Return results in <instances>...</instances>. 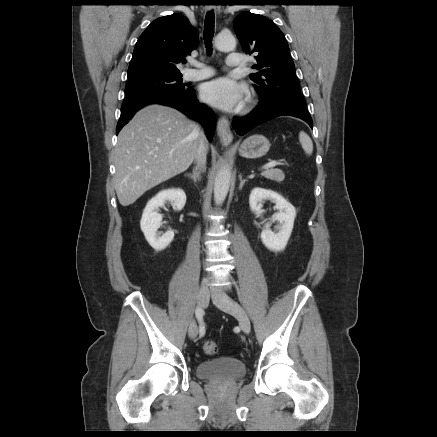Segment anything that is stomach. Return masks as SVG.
Instances as JSON below:
<instances>
[{
    "mask_svg": "<svg viewBox=\"0 0 437 437\" xmlns=\"http://www.w3.org/2000/svg\"><path fill=\"white\" fill-rule=\"evenodd\" d=\"M269 140L259 134H255L246 138L240 145L238 151L240 156L248 159L261 158L267 154L270 149Z\"/></svg>",
    "mask_w": 437,
    "mask_h": 437,
    "instance_id": "0dacf381",
    "label": "stomach"
}]
</instances>
